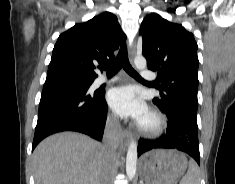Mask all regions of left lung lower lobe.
Wrapping results in <instances>:
<instances>
[{
  "mask_svg": "<svg viewBox=\"0 0 235 184\" xmlns=\"http://www.w3.org/2000/svg\"><path fill=\"white\" fill-rule=\"evenodd\" d=\"M160 109L167 115L169 127L166 133L157 140L140 139L138 156L156 148L177 149L186 152L200 164L197 114L179 106Z\"/></svg>",
  "mask_w": 235,
  "mask_h": 184,
  "instance_id": "obj_1",
  "label": "left lung lower lobe"
}]
</instances>
